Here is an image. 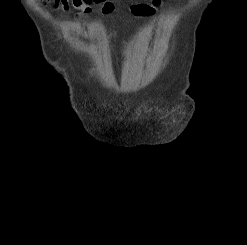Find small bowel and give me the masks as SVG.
<instances>
[{"label": "small bowel", "mask_w": 247, "mask_h": 245, "mask_svg": "<svg viewBox=\"0 0 247 245\" xmlns=\"http://www.w3.org/2000/svg\"><path fill=\"white\" fill-rule=\"evenodd\" d=\"M93 2V0H55L56 5L61 6L63 10H68L70 4H72L73 7L79 10L77 17L87 14L90 11V5ZM160 2L161 0H151L150 4H134L131 6V13L135 16L151 15L155 12L156 7Z\"/></svg>", "instance_id": "1"}]
</instances>
